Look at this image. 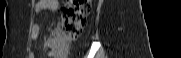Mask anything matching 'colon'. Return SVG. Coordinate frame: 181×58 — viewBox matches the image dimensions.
Instances as JSON below:
<instances>
[{"instance_id": "5ec220e1", "label": "colon", "mask_w": 181, "mask_h": 58, "mask_svg": "<svg viewBox=\"0 0 181 58\" xmlns=\"http://www.w3.org/2000/svg\"><path fill=\"white\" fill-rule=\"evenodd\" d=\"M91 8L90 0H67L61 7V24L48 42L54 57H66L69 45L81 34Z\"/></svg>"}]
</instances>
